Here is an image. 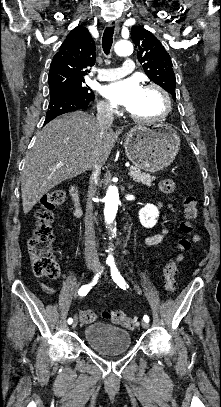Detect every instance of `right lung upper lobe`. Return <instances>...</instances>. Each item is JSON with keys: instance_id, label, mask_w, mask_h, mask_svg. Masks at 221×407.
I'll use <instances>...</instances> for the list:
<instances>
[{"instance_id": "cb5924a9", "label": "right lung upper lobe", "mask_w": 221, "mask_h": 407, "mask_svg": "<svg viewBox=\"0 0 221 407\" xmlns=\"http://www.w3.org/2000/svg\"><path fill=\"white\" fill-rule=\"evenodd\" d=\"M96 48L87 28L77 26L66 37L53 57L48 76L50 90L84 82L95 63Z\"/></svg>"}]
</instances>
